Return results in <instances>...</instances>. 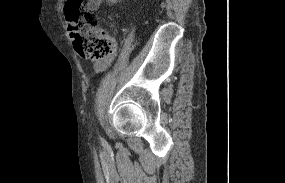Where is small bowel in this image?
Returning a JSON list of instances; mask_svg holds the SVG:
<instances>
[{
  "label": "small bowel",
  "instance_id": "small-bowel-1",
  "mask_svg": "<svg viewBox=\"0 0 285 183\" xmlns=\"http://www.w3.org/2000/svg\"><path fill=\"white\" fill-rule=\"evenodd\" d=\"M102 3V0H87L86 1V7L90 10H97L99 9L100 5ZM113 58H107L98 62H95L93 64V70L97 74L103 73L111 64Z\"/></svg>",
  "mask_w": 285,
  "mask_h": 183
}]
</instances>
